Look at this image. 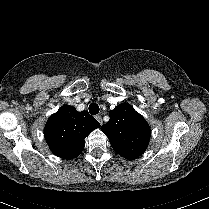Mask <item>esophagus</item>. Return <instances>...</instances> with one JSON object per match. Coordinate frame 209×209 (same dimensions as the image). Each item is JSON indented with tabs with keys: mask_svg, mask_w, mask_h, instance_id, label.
<instances>
[{
	"mask_svg": "<svg viewBox=\"0 0 209 209\" xmlns=\"http://www.w3.org/2000/svg\"><path fill=\"white\" fill-rule=\"evenodd\" d=\"M96 119L98 120V122H99L100 124L103 123L102 117H101L100 115H97V116H96Z\"/></svg>",
	"mask_w": 209,
	"mask_h": 209,
	"instance_id": "esophagus-1",
	"label": "esophagus"
}]
</instances>
